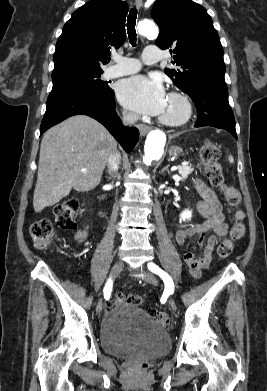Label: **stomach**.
I'll list each match as a JSON object with an SVG mask.
<instances>
[{"label": "stomach", "mask_w": 267, "mask_h": 391, "mask_svg": "<svg viewBox=\"0 0 267 391\" xmlns=\"http://www.w3.org/2000/svg\"><path fill=\"white\" fill-rule=\"evenodd\" d=\"M182 153V149L178 146H174L170 149V154L172 156H178Z\"/></svg>", "instance_id": "0dacf381"}]
</instances>
